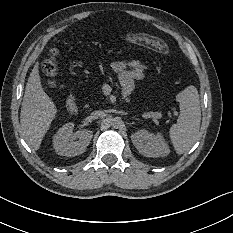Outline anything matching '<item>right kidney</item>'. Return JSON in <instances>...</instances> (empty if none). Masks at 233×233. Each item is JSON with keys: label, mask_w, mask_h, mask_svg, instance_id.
Wrapping results in <instances>:
<instances>
[{"label": "right kidney", "mask_w": 233, "mask_h": 233, "mask_svg": "<svg viewBox=\"0 0 233 233\" xmlns=\"http://www.w3.org/2000/svg\"><path fill=\"white\" fill-rule=\"evenodd\" d=\"M73 128V123H67L59 128L55 134L53 146L58 155L74 157L86 151L93 137V132L83 129L73 133ZM75 139L78 140L74 141Z\"/></svg>", "instance_id": "1"}]
</instances>
